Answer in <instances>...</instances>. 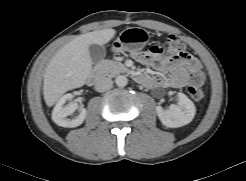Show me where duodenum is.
<instances>
[{"instance_id": "obj_1", "label": "duodenum", "mask_w": 246, "mask_h": 181, "mask_svg": "<svg viewBox=\"0 0 246 181\" xmlns=\"http://www.w3.org/2000/svg\"><path fill=\"white\" fill-rule=\"evenodd\" d=\"M101 79H102V71L100 69H94L89 73L87 77L88 83L93 86L100 84ZM135 79L140 84H144L146 82V77L143 75H136Z\"/></svg>"}]
</instances>
